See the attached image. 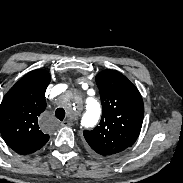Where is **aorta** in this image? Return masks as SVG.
I'll list each match as a JSON object with an SVG mask.
<instances>
[{
	"label": "aorta",
	"instance_id": "762f6f07",
	"mask_svg": "<svg viewBox=\"0 0 183 183\" xmlns=\"http://www.w3.org/2000/svg\"><path fill=\"white\" fill-rule=\"evenodd\" d=\"M101 114V106L95 98H87L85 111L82 114L81 123L85 127L94 126L99 120Z\"/></svg>",
	"mask_w": 183,
	"mask_h": 183
}]
</instances>
